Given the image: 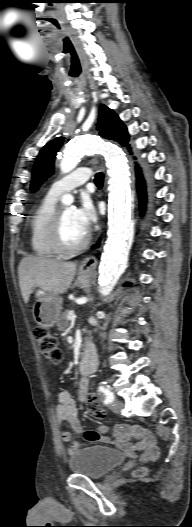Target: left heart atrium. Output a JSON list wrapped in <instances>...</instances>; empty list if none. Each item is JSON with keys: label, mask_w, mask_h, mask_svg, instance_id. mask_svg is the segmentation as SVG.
Wrapping results in <instances>:
<instances>
[{"label": "left heart atrium", "mask_w": 192, "mask_h": 527, "mask_svg": "<svg viewBox=\"0 0 192 527\" xmlns=\"http://www.w3.org/2000/svg\"><path fill=\"white\" fill-rule=\"evenodd\" d=\"M75 218L80 227L88 233L96 220V214L93 206L87 200L83 201L81 206L74 210Z\"/></svg>", "instance_id": "obj_1"}]
</instances>
